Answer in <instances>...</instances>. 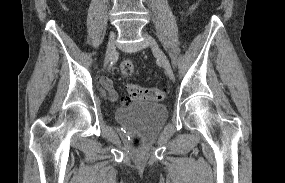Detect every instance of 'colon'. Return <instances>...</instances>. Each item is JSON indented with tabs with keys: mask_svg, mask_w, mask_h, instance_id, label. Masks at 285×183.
<instances>
[{
	"mask_svg": "<svg viewBox=\"0 0 285 183\" xmlns=\"http://www.w3.org/2000/svg\"><path fill=\"white\" fill-rule=\"evenodd\" d=\"M120 71L124 76H130L135 71V64L132 60L126 59L120 64ZM129 93V98H124L123 103H128L130 99L135 100H147L152 102H159L166 97V90L162 88L152 87H142L136 84H129L127 86ZM135 146H140L141 141L139 139L134 140Z\"/></svg>",
	"mask_w": 285,
	"mask_h": 183,
	"instance_id": "1",
	"label": "colon"
}]
</instances>
